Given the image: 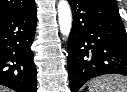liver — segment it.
<instances>
[{
	"mask_svg": "<svg viewBox=\"0 0 127 92\" xmlns=\"http://www.w3.org/2000/svg\"><path fill=\"white\" fill-rule=\"evenodd\" d=\"M0 92H10V91H9V89H7V88H2V87H0Z\"/></svg>",
	"mask_w": 127,
	"mask_h": 92,
	"instance_id": "obj_1",
	"label": "liver"
}]
</instances>
